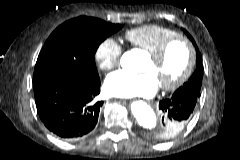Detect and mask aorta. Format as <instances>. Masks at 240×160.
Here are the masks:
<instances>
[{
    "mask_svg": "<svg viewBox=\"0 0 240 160\" xmlns=\"http://www.w3.org/2000/svg\"><path fill=\"white\" fill-rule=\"evenodd\" d=\"M131 111L139 125L145 129H153L157 125V117L153 109L143 101H134Z\"/></svg>",
    "mask_w": 240,
    "mask_h": 160,
    "instance_id": "1",
    "label": "aorta"
}]
</instances>
